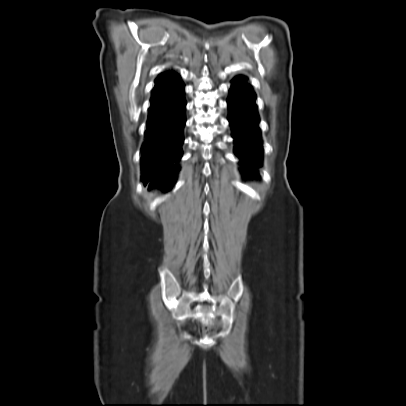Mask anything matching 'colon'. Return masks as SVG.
Here are the masks:
<instances>
[{"label": "colon", "mask_w": 406, "mask_h": 406, "mask_svg": "<svg viewBox=\"0 0 406 406\" xmlns=\"http://www.w3.org/2000/svg\"><path fill=\"white\" fill-rule=\"evenodd\" d=\"M211 330H212V325L209 324V323H205V324L203 325V327H202V331H203L205 334L210 333Z\"/></svg>", "instance_id": "5ec220e1"}]
</instances>
